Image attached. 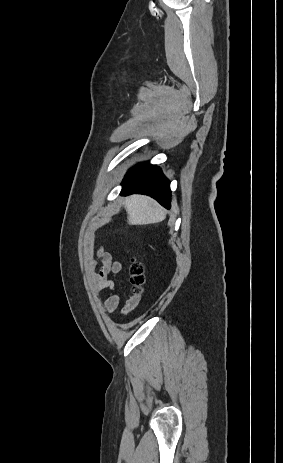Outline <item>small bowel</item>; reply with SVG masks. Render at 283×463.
I'll list each match as a JSON object with an SVG mask.
<instances>
[{
  "instance_id": "small-bowel-1",
  "label": "small bowel",
  "mask_w": 283,
  "mask_h": 463,
  "mask_svg": "<svg viewBox=\"0 0 283 463\" xmlns=\"http://www.w3.org/2000/svg\"><path fill=\"white\" fill-rule=\"evenodd\" d=\"M101 263L99 271L94 272V278L96 280V292L101 293L104 290H111L113 293L108 296L103 303V310L106 313H112L120 303V295L115 290V283L108 278L109 274L124 276L123 265L119 261L113 260L112 255L105 251L101 246L97 249L95 256L91 262V266L95 268L98 263ZM135 305L133 297L129 298L126 302L123 311L131 310Z\"/></svg>"
}]
</instances>
